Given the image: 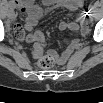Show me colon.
Returning <instances> with one entry per match:
<instances>
[{
    "label": "colon",
    "mask_w": 103,
    "mask_h": 103,
    "mask_svg": "<svg viewBox=\"0 0 103 103\" xmlns=\"http://www.w3.org/2000/svg\"><path fill=\"white\" fill-rule=\"evenodd\" d=\"M56 61L57 55L50 53L41 57L38 61V65L43 69H50L55 65Z\"/></svg>",
    "instance_id": "5ec220e1"
}]
</instances>
